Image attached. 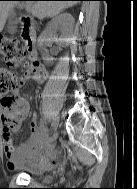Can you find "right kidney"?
<instances>
[{"mask_svg":"<svg viewBox=\"0 0 137 189\" xmlns=\"http://www.w3.org/2000/svg\"><path fill=\"white\" fill-rule=\"evenodd\" d=\"M73 21L74 19L69 13H63L53 18L51 23L46 28V30L38 38V42H37L38 49L41 50L42 52L45 42L50 40L55 35L57 30L63 29L66 27L70 28L72 26ZM68 41H69L68 38L64 36V37L59 38L57 40V43L59 45L65 46L68 44ZM43 59L47 63H51L53 61L52 58H49L47 56L43 57Z\"/></svg>","mask_w":137,"mask_h":189,"instance_id":"obj_1","label":"right kidney"}]
</instances>
